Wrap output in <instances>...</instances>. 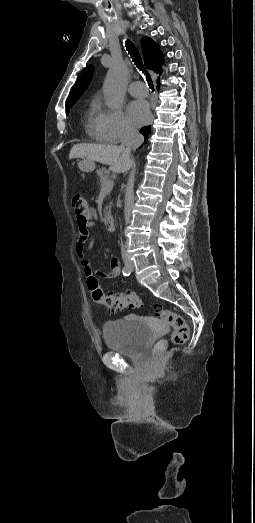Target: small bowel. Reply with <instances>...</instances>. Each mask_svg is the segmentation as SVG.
Segmentation results:
<instances>
[{
  "label": "small bowel",
  "mask_w": 255,
  "mask_h": 523,
  "mask_svg": "<svg viewBox=\"0 0 255 523\" xmlns=\"http://www.w3.org/2000/svg\"><path fill=\"white\" fill-rule=\"evenodd\" d=\"M98 215L93 209L88 210L84 215V219H78V235H77V246L76 255L79 258L82 267L87 277L93 276L92 268L89 261L86 258V249L93 248L94 243L89 240V230L96 227ZM110 270L108 272L97 271V275L103 279H114L121 274V266L116 258H111L109 261Z\"/></svg>",
  "instance_id": "obj_1"
}]
</instances>
